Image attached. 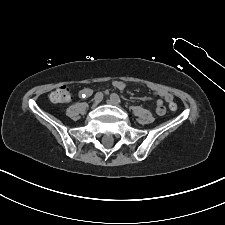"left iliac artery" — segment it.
<instances>
[{
  "label": "left iliac artery",
  "instance_id": "44dca946",
  "mask_svg": "<svg viewBox=\"0 0 225 225\" xmlns=\"http://www.w3.org/2000/svg\"><path fill=\"white\" fill-rule=\"evenodd\" d=\"M113 100H115L116 102L120 103L121 100L119 98V96L116 93L111 94L110 96Z\"/></svg>",
  "mask_w": 225,
  "mask_h": 225
}]
</instances>
